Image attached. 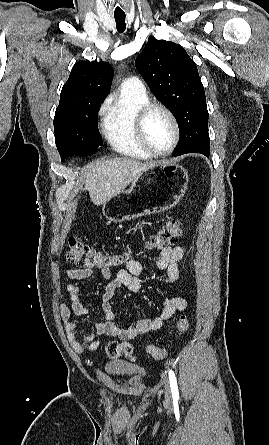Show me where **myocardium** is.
I'll list each match as a JSON object with an SVG mask.
<instances>
[{
    "label": "myocardium",
    "mask_w": 269,
    "mask_h": 445,
    "mask_svg": "<svg viewBox=\"0 0 269 445\" xmlns=\"http://www.w3.org/2000/svg\"><path fill=\"white\" fill-rule=\"evenodd\" d=\"M154 110H161L163 111L171 120L174 128V138L172 141V144L170 147L164 151V152H157L155 151L148 143L146 136H145V123L149 116V114ZM135 135L137 138V141L139 145L146 151L149 155L156 158H164L169 155H171L176 147L179 144L180 137H181V129L179 121L174 114V112L168 108L167 106L156 103V102H148L144 104L137 112L135 117Z\"/></svg>",
    "instance_id": "obj_1"
}]
</instances>
